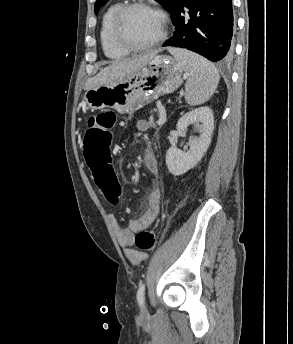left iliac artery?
Returning <instances> with one entry per match:
<instances>
[{
  "label": "left iliac artery",
  "instance_id": "44dca946",
  "mask_svg": "<svg viewBox=\"0 0 293 344\" xmlns=\"http://www.w3.org/2000/svg\"><path fill=\"white\" fill-rule=\"evenodd\" d=\"M144 292H145V284H141L138 291H137V300L140 306L144 304Z\"/></svg>",
  "mask_w": 293,
  "mask_h": 344
}]
</instances>
